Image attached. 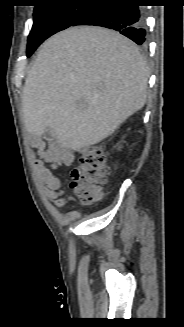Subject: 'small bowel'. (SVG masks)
Returning <instances> with one entry per match:
<instances>
[{
  "label": "small bowel",
  "instance_id": "obj_1",
  "mask_svg": "<svg viewBox=\"0 0 184 327\" xmlns=\"http://www.w3.org/2000/svg\"><path fill=\"white\" fill-rule=\"evenodd\" d=\"M33 143L37 146L39 142L35 139ZM38 156L41 158L33 156V165L37 175L46 185V196L54 202L56 207L62 208L65 205V199L61 179L55 176L45 163H49L51 168L61 165L69 166L74 161V154L70 150L59 148L55 143L49 142L47 149L38 150Z\"/></svg>",
  "mask_w": 184,
  "mask_h": 327
}]
</instances>
